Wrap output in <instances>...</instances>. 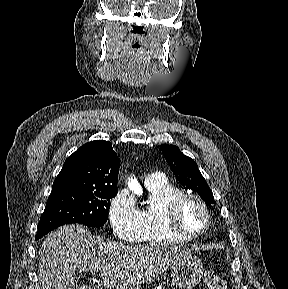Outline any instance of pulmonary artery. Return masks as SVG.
Segmentation results:
<instances>
[{
    "instance_id": "pulmonary-artery-1",
    "label": "pulmonary artery",
    "mask_w": 288,
    "mask_h": 289,
    "mask_svg": "<svg viewBox=\"0 0 288 289\" xmlns=\"http://www.w3.org/2000/svg\"><path fill=\"white\" fill-rule=\"evenodd\" d=\"M165 181V176L160 172H154L145 179L146 185L159 184Z\"/></svg>"
}]
</instances>
